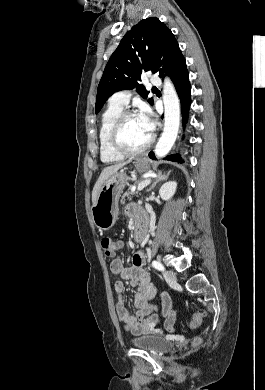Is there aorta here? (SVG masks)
Returning <instances> with one entry per match:
<instances>
[{
  "label": "aorta",
  "instance_id": "obj_1",
  "mask_svg": "<svg viewBox=\"0 0 265 390\" xmlns=\"http://www.w3.org/2000/svg\"><path fill=\"white\" fill-rule=\"evenodd\" d=\"M163 102L165 109L164 129L155 147V155L158 158H162L169 153L177 138L180 125L179 99L169 78L164 80Z\"/></svg>",
  "mask_w": 265,
  "mask_h": 390
}]
</instances>
